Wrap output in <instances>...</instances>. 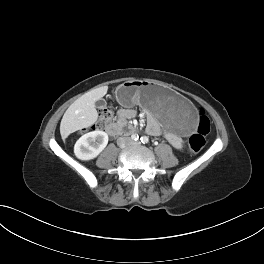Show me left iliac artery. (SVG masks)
<instances>
[{
	"mask_svg": "<svg viewBox=\"0 0 264 264\" xmlns=\"http://www.w3.org/2000/svg\"><path fill=\"white\" fill-rule=\"evenodd\" d=\"M140 140L143 144H147L149 142V138L147 136H142Z\"/></svg>",
	"mask_w": 264,
	"mask_h": 264,
	"instance_id": "44dca946",
	"label": "left iliac artery"
}]
</instances>
